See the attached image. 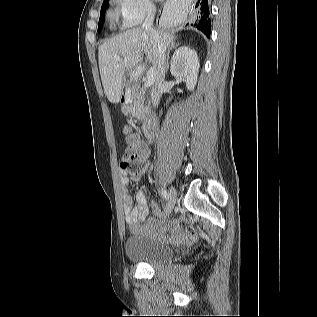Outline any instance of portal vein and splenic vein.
I'll list each match as a JSON object with an SVG mask.
<instances>
[{
  "mask_svg": "<svg viewBox=\"0 0 317 317\" xmlns=\"http://www.w3.org/2000/svg\"><path fill=\"white\" fill-rule=\"evenodd\" d=\"M155 79V70L154 68H150L149 71L147 72V77H146V81L144 83L145 87H150Z\"/></svg>",
  "mask_w": 317,
  "mask_h": 317,
  "instance_id": "portal-vein-and-splenic-vein-1",
  "label": "portal vein and splenic vein"
}]
</instances>
